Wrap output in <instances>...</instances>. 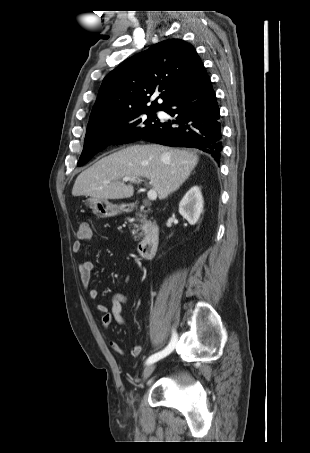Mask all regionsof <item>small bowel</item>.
<instances>
[{"mask_svg":"<svg viewBox=\"0 0 310 453\" xmlns=\"http://www.w3.org/2000/svg\"><path fill=\"white\" fill-rule=\"evenodd\" d=\"M72 250L78 254L82 250V243L77 240L73 243ZM93 269V263L90 260H83L78 266V272L80 277L81 285L87 290L88 297L90 299L98 298V290L95 287L90 286L91 272ZM128 299L125 294L121 292H115L111 297L110 309L104 303H98L96 305L97 311L101 314V324L104 328H109L113 322L118 325H125L126 319L123 316V305L127 303ZM111 349L117 354H123L122 347L115 341L109 343ZM142 347L135 345L131 349V355L137 357L141 354Z\"/></svg>","mask_w":310,"mask_h":453,"instance_id":"small-bowel-1","label":"small bowel"}]
</instances>
